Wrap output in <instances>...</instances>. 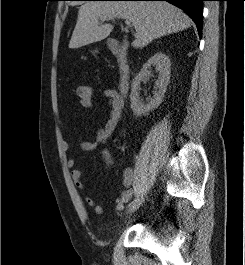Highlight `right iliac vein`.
Here are the masks:
<instances>
[{"mask_svg": "<svg viewBox=\"0 0 245 265\" xmlns=\"http://www.w3.org/2000/svg\"><path fill=\"white\" fill-rule=\"evenodd\" d=\"M143 202H144L143 196L137 197L132 203L129 204L128 209H127V214H131L134 211H136Z\"/></svg>", "mask_w": 245, "mask_h": 265, "instance_id": "1", "label": "right iliac vein"}]
</instances>
